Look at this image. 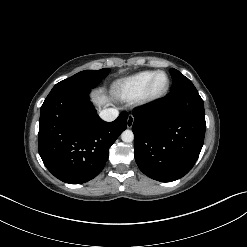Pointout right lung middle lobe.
Instances as JSON below:
<instances>
[{
    "label": "right lung middle lobe",
    "mask_w": 247,
    "mask_h": 247,
    "mask_svg": "<svg viewBox=\"0 0 247 247\" xmlns=\"http://www.w3.org/2000/svg\"><path fill=\"white\" fill-rule=\"evenodd\" d=\"M110 69L104 68L101 70H84L74 76L57 83L52 90L60 88H87L96 87L103 78H105Z\"/></svg>",
    "instance_id": "right-lung-middle-lobe-1"
}]
</instances>
